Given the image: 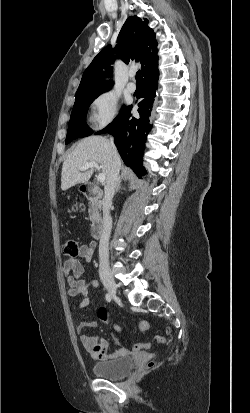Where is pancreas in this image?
Returning a JSON list of instances; mask_svg holds the SVG:
<instances>
[{
	"mask_svg": "<svg viewBox=\"0 0 250 413\" xmlns=\"http://www.w3.org/2000/svg\"><path fill=\"white\" fill-rule=\"evenodd\" d=\"M101 207V202L96 198H93L89 204V218L91 221H94L97 217L98 209Z\"/></svg>",
	"mask_w": 250,
	"mask_h": 413,
	"instance_id": "cf45deb5",
	"label": "pancreas"
}]
</instances>
